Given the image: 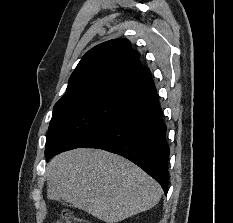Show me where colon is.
Masks as SVG:
<instances>
[{
	"mask_svg": "<svg viewBox=\"0 0 233 223\" xmlns=\"http://www.w3.org/2000/svg\"><path fill=\"white\" fill-rule=\"evenodd\" d=\"M60 223H91L85 219H78L73 217V213L70 210L64 209L61 215Z\"/></svg>",
	"mask_w": 233,
	"mask_h": 223,
	"instance_id": "obj_1",
	"label": "colon"
}]
</instances>
